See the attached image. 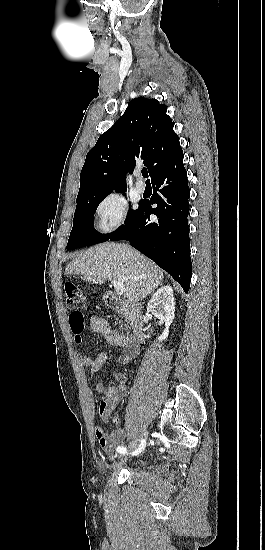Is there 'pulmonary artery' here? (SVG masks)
Returning <instances> with one entry per match:
<instances>
[{"mask_svg":"<svg viewBox=\"0 0 265 550\" xmlns=\"http://www.w3.org/2000/svg\"><path fill=\"white\" fill-rule=\"evenodd\" d=\"M145 184L142 181H138L135 185V189L138 193L142 194L145 191Z\"/></svg>","mask_w":265,"mask_h":550,"instance_id":"pulmonary-artery-1","label":"pulmonary artery"}]
</instances>
